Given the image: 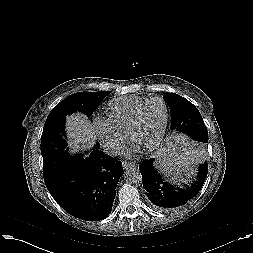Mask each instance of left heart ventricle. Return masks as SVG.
Listing matches in <instances>:
<instances>
[{
    "instance_id": "obj_1",
    "label": "left heart ventricle",
    "mask_w": 253,
    "mask_h": 253,
    "mask_svg": "<svg viewBox=\"0 0 253 253\" xmlns=\"http://www.w3.org/2000/svg\"><path fill=\"white\" fill-rule=\"evenodd\" d=\"M165 119V107L160 101L149 103L142 111L131 141L146 148L157 138Z\"/></svg>"
}]
</instances>
